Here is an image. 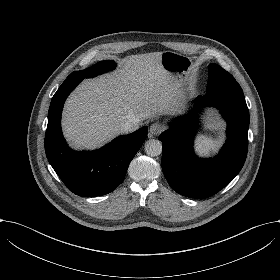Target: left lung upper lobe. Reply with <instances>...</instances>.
Instances as JSON below:
<instances>
[{
    "label": "left lung upper lobe",
    "mask_w": 280,
    "mask_h": 280,
    "mask_svg": "<svg viewBox=\"0 0 280 280\" xmlns=\"http://www.w3.org/2000/svg\"><path fill=\"white\" fill-rule=\"evenodd\" d=\"M207 91L237 83L233 76L217 64H210Z\"/></svg>",
    "instance_id": "1"
}]
</instances>
